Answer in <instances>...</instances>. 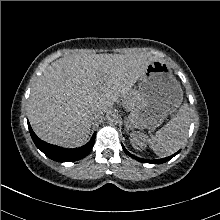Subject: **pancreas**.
Returning <instances> with one entry per match:
<instances>
[{
  "label": "pancreas",
  "mask_w": 220,
  "mask_h": 220,
  "mask_svg": "<svg viewBox=\"0 0 220 220\" xmlns=\"http://www.w3.org/2000/svg\"><path fill=\"white\" fill-rule=\"evenodd\" d=\"M139 100H140V94L138 93V91L133 90L124 97V104L128 109L135 106Z\"/></svg>",
  "instance_id": "pancreas-1"
}]
</instances>
